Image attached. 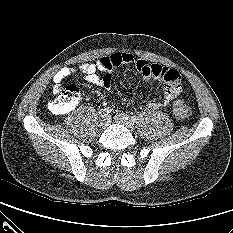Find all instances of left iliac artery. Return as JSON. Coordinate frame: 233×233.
Listing matches in <instances>:
<instances>
[{"mask_svg":"<svg viewBox=\"0 0 233 233\" xmlns=\"http://www.w3.org/2000/svg\"><path fill=\"white\" fill-rule=\"evenodd\" d=\"M131 119L133 122H136L138 120V118L136 116H132Z\"/></svg>","mask_w":233,"mask_h":233,"instance_id":"left-iliac-artery-1","label":"left iliac artery"}]
</instances>
